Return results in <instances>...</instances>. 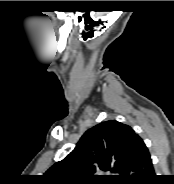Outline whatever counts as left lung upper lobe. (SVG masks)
<instances>
[{
    "label": "left lung upper lobe",
    "instance_id": "left-lung-upper-lobe-1",
    "mask_svg": "<svg viewBox=\"0 0 174 184\" xmlns=\"http://www.w3.org/2000/svg\"><path fill=\"white\" fill-rule=\"evenodd\" d=\"M141 138L116 120L104 121L87 130L75 149L54 164L47 176L55 184H97L101 180H124L130 157ZM118 176H99L101 172Z\"/></svg>",
    "mask_w": 174,
    "mask_h": 184
}]
</instances>
